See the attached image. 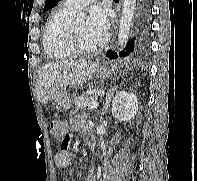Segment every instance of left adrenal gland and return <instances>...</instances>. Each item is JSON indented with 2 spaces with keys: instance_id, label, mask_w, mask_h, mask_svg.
I'll return each mask as SVG.
<instances>
[{
  "instance_id": "left-adrenal-gland-1",
  "label": "left adrenal gland",
  "mask_w": 197,
  "mask_h": 181,
  "mask_svg": "<svg viewBox=\"0 0 197 181\" xmlns=\"http://www.w3.org/2000/svg\"><path fill=\"white\" fill-rule=\"evenodd\" d=\"M118 86L112 87L110 88L107 93H106V98H105V102L103 103V107L101 109V116L105 115L108 111L109 108V104L115 94V92L117 91Z\"/></svg>"
}]
</instances>
